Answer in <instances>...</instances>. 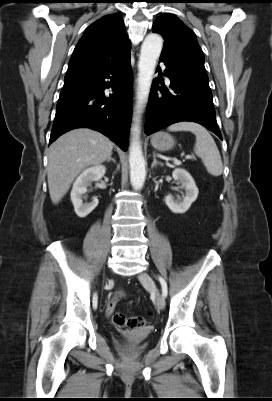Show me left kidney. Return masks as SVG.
Returning <instances> with one entry per match:
<instances>
[{"label":"left kidney","mask_w":272,"mask_h":401,"mask_svg":"<svg viewBox=\"0 0 272 401\" xmlns=\"http://www.w3.org/2000/svg\"><path fill=\"white\" fill-rule=\"evenodd\" d=\"M172 176L174 180L185 189L186 194L183 198L179 197L177 200L171 195H168L165 198V203L173 213L182 214L185 213L197 199L199 191L194 179L186 170L177 168L173 171Z\"/></svg>","instance_id":"1"}]
</instances>
